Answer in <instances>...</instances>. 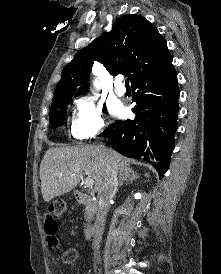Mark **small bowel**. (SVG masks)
Returning <instances> with one entry per match:
<instances>
[{"mask_svg": "<svg viewBox=\"0 0 221 274\" xmlns=\"http://www.w3.org/2000/svg\"><path fill=\"white\" fill-rule=\"evenodd\" d=\"M43 228L46 234V241L50 248H59V239L57 237V221L49 214L43 216Z\"/></svg>", "mask_w": 221, "mask_h": 274, "instance_id": "obj_1", "label": "small bowel"}]
</instances>
